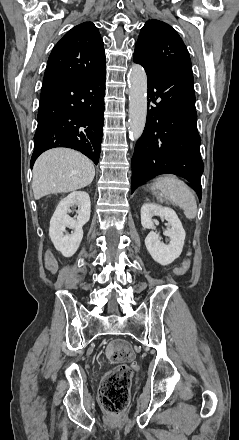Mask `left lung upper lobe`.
Returning <instances> with one entry per match:
<instances>
[{
	"mask_svg": "<svg viewBox=\"0 0 239 440\" xmlns=\"http://www.w3.org/2000/svg\"><path fill=\"white\" fill-rule=\"evenodd\" d=\"M133 59L146 70L192 73L190 56L182 39L170 25L159 20H149L142 27Z\"/></svg>",
	"mask_w": 239,
	"mask_h": 440,
	"instance_id": "1",
	"label": "left lung upper lobe"
}]
</instances>
